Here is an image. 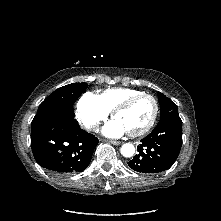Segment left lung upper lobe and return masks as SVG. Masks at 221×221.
<instances>
[{"instance_id": "5c2ea615", "label": "left lung upper lobe", "mask_w": 221, "mask_h": 221, "mask_svg": "<svg viewBox=\"0 0 221 221\" xmlns=\"http://www.w3.org/2000/svg\"><path fill=\"white\" fill-rule=\"evenodd\" d=\"M159 102H160V121H163L167 118H176L179 117L178 107L174 102H172L168 97L159 92Z\"/></svg>"}]
</instances>
